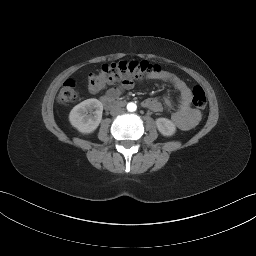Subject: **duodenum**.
<instances>
[{
    "label": "duodenum",
    "instance_id": "duodenum-1",
    "mask_svg": "<svg viewBox=\"0 0 256 256\" xmlns=\"http://www.w3.org/2000/svg\"><path fill=\"white\" fill-rule=\"evenodd\" d=\"M102 103L104 107L108 110L117 109L124 106V102L119 101L107 95L103 96Z\"/></svg>",
    "mask_w": 256,
    "mask_h": 256
}]
</instances>
